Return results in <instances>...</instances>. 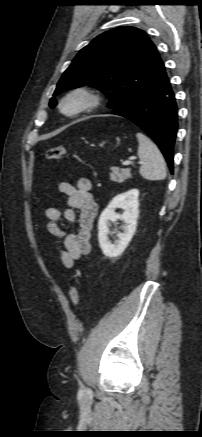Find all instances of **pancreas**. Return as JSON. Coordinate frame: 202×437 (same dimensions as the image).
<instances>
[{"label": "pancreas", "mask_w": 202, "mask_h": 437, "mask_svg": "<svg viewBox=\"0 0 202 437\" xmlns=\"http://www.w3.org/2000/svg\"><path fill=\"white\" fill-rule=\"evenodd\" d=\"M130 169H119L117 167H111L110 180L113 182L123 183L126 179L130 178Z\"/></svg>", "instance_id": "pancreas-1"}]
</instances>
